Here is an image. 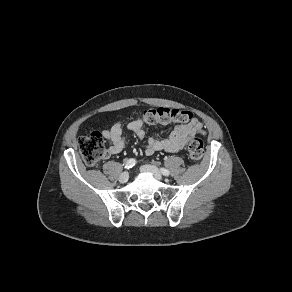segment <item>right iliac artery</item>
<instances>
[{
    "label": "right iliac artery",
    "instance_id": "obj_1",
    "mask_svg": "<svg viewBox=\"0 0 292 292\" xmlns=\"http://www.w3.org/2000/svg\"><path fill=\"white\" fill-rule=\"evenodd\" d=\"M135 164H136V159L131 158V159L127 160V162L125 163L124 168H125V169H130V168H132L133 166H135Z\"/></svg>",
    "mask_w": 292,
    "mask_h": 292
}]
</instances>
